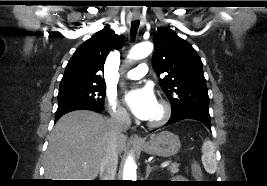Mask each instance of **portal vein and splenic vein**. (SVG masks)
<instances>
[{
  "mask_svg": "<svg viewBox=\"0 0 267 186\" xmlns=\"http://www.w3.org/2000/svg\"><path fill=\"white\" fill-rule=\"evenodd\" d=\"M169 165V162L168 161H165L161 164V167L164 168V167H167Z\"/></svg>",
  "mask_w": 267,
  "mask_h": 186,
  "instance_id": "obj_1",
  "label": "portal vein and splenic vein"
}]
</instances>
